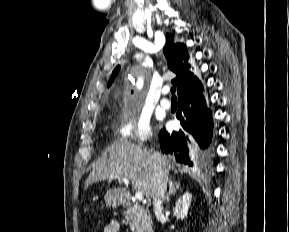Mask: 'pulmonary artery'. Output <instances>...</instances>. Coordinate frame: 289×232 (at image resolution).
<instances>
[{
    "label": "pulmonary artery",
    "mask_w": 289,
    "mask_h": 232,
    "mask_svg": "<svg viewBox=\"0 0 289 232\" xmlns=\"http://www.w3.org/2000/svg\"><path fill=\"white\" fill-rule=\"evenodd\" d=\"M169 92V89L167 87L163 88L162 93L165 95ZM160 105L164 109H170L171 108V102L167 98H162L160 101Z\"/></svg>",
    "instance_id": "obj_1"
}]
</instances>
